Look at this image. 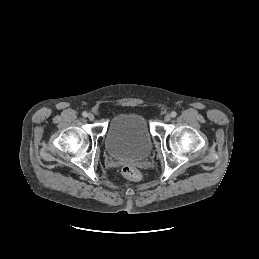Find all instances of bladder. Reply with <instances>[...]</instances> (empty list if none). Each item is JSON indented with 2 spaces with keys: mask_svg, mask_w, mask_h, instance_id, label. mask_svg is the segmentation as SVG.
<instances>
[{
  "mask_svg": "<svg viewBox=\"0 0 259 259\" xmlns=\"http://www.w3.org/2000/svg\"><path fill=\"white\" fill-rule=\"evenodd\" d=\"M105 147L113 157L144 158L152 147V135L146 117L138 112L114 116L108 125Z\"/></svg>",
  "mask_w": 259,
  "mask_h": 259,
  "instance_id": "obj_1",
  "label": "bladder"
}]
</instances>
